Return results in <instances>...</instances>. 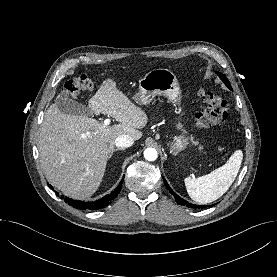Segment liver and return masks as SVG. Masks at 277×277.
Returning <instances> with one entry per match:
<instances>
[{
    "instance_id": "1",
    "label": "liver",
    "mask_w": 277,
    "mask_h": 277,
    "mask_svg": "<svg viewBox=\"0 0 277 277\" xmlns=\"http://www.w3.org/2000/svg\"><path fill=\"white\" fill-rule=\"evenodd\" d=\"M88 108L119 124L109 126L88 116L65 114L52 104L38 134L40 164L48 182L77 199L87 198L99 188L116 138L129 135L139 140V129L148 122L146 112L120 91L111 78L89 99Z\"/></svg>"
}]
</instances>
